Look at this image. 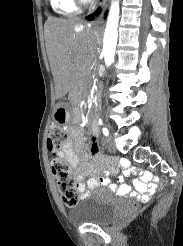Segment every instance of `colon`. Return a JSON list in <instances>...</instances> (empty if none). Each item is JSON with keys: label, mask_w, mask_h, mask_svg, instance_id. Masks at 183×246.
<instances>
[{"label": "colon", "mask_w": 183, "mask_h": 246, "mask_svg": "<svg viewBox=\"0 0 183 246\" xmlns=\"http://www.w3.org/2000/svg\"><path fill=\"white\" fill-rule=\"evenodd\" d=\"M55 116L57 122L63 123L66 119V110L64 107H59ZM65 139L66 134L60 126L54 125L50 127L48 134V149L54 156L64 143ZM89 150L94 157L104 156V150L98 149L94 139H91L89 142ZM52 173L56 179L57 188L63 203L68 207H75L79 202L78 188L76 180L70 175L68 164L55 157L52 161ZM156 184L158 188L162 189L166 185V179L161 178V182H156Z\"/></svg>", "instance_id": "obj_1"}]
</instances>
